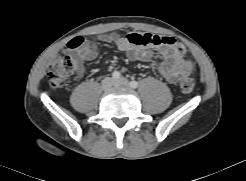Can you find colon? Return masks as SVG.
<instances>
[{
    "label": "colon",
    "instance_id": "colon-1",
    "mask_svg": "<svg viewBox=\"0 0 246 181\" xmlns=\"http://www.w3.org/2000/svg\"><path fill=\"white\" fill-rule=\"evenodd\" d=\"M81 37H75L69 43V48H77L82 44ZM161 42V39L157 35L144 34L139 43L157 45ZM78 69V62L63 53H59L55 56L52 64L50 65L47 72V80L49 84L54 88L64 87L70 77ZM180 90L183 93H191L194 89L195 83L192 78H183L180 81Z\"/></svg>",
    "mask_w": 246,
    "mask_h": 181
}]
</instances>
